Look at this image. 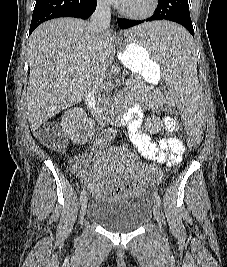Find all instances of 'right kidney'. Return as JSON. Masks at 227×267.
Listing matches in <instances>:
<instances>
[{"instance_id": "ca27d5eb", "label": "right kidney", "mask_w": 227, "mask_h": 267, "mask_svg": "<svg viewBox=\"0 0 227 267\" xmlns=\"http://www.w3.org/2000/svg\"><path fill=\"white\" fill-rule=\"evenodd\" d=\"M62 129L64 134L74 143L85 144L94 135L95 123L87 118L84 109L74 107L67 110L62 117Z\"/></svg>"}]
</instances>
